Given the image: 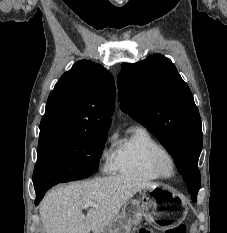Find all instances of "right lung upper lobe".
Returning a JSON list of instances; mask_svg holds the SVG:
<instances>
[{
  "mask_svg": "<svg viewBox=\"0 0 227 233\" xmlns=\"http://www.w3.org/2000/svg\"><path fill=\"white\" fill-rule=\"evenodd\" d=\"M115 84L100 64L81 60L51 91L40 133L54 130L108 131L114 111Z\"/></svg>",
  "mask_w": 227,
  "mask_h": 233,
  "instance_id": "obj_1",
  "label": "right lung upper lobe"
}]
</instances>
